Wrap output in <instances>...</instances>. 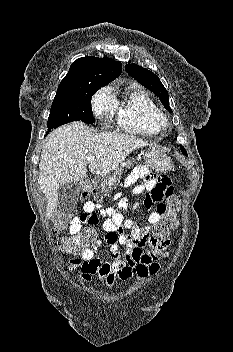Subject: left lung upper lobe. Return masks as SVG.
<instances>
[{"instance_id": "5c2ea615", "label": "left lung upper lobe", "mask_w": 233, "mask_h": 352, "mask_svg": "<svg viewBox=\"0 0 233 352\" xmlns=\"http://www.w3.org/2000/svg\"><path fill=\"white\" fill-rule=\"evenodd\" d=\"M125 70L129 75L134 77L140 84L144 87L148 88L150 91L155 93L164 107L172 112L171 108L169 107V96L166 88L162 85L159 77L149 71L148 69L142 68L137 64H127L125 66ZM180 149L182 153H187L185 148L180 145Z\"/></svg>"}]
</instances>
